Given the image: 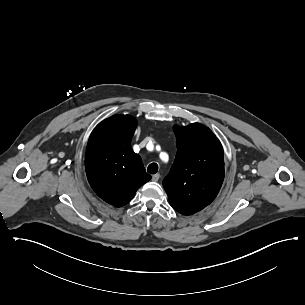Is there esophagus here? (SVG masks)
I'll return each instance as SVG.
<instances>
[{
	"mask_svg": "<svg viewBox=\"0 0 305 305\" xmlns=\"http://www.w3.org/2000/svg\"><path fill=\"white\" fill-rule=\"evenodd\" d=\"M159 178H160V175L159 174H155V175L152 176V181L153 182H157L159 180Z\"/></svg>",
	"mask_w": 305,
	"mask_h": 305,
	"instance_id": "esophagus-1",
	"label": "esophagus"
}]
</instances>
